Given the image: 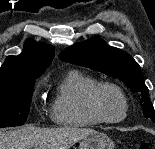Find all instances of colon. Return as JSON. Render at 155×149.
<instances>
[{"label": "colon", "instance_id": "5ec220e1", "mask_svg": "<svg viewBox=\"0 0 155 149\" xmlns=\"http://www.w3.org/2000/svg\"><path fill=\"white\" fill-rule=\"evenodd\" d=\"M136 149H150V145L148 143H141L136 145Z\"/></svg>", "mask_w": 155, "mask_h": 149}]
</instances>
